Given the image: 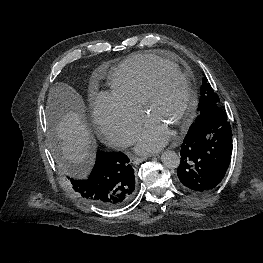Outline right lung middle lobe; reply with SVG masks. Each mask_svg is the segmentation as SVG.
Segmentation results:
<instances>
[{"label": "right lung middle lobe", "mask_w": 263, "mask_h": 263, "mask_svg": "<svg viewBox=\"0 0 263 263\" xmlns=\"http://www.w3.org/2000/svg\"><path fill=\"white\" fill-rule=\"evenodd\" d=\"M53 153H54V157L57 163V167L60 171V174L65 178L70 180L71 178H74L73 176H75V173L72 169V167L68 164V160H66L64 158V156L62 155V152L60 150V142L57 140H54L53 142ZM71 163V162H69ZM72 165H74L73 163H71ZM75 166V165H74Z\"/></svg>", "instance_id": "obj_1"}]
</instances>
